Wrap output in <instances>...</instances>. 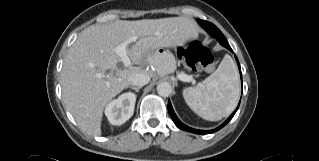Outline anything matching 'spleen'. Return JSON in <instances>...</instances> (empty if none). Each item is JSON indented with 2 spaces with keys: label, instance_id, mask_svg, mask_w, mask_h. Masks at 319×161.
I'll use <instances>...</instances> for the list:
<instances>
[{
  "label": "spleen",
  "instance_id": "1",
  "mask_svg": "<svg viewBox=\"0 0 319 161\" xmlns=\"http://www.w3.org/2000/svg\"><path fill=\"white\" fill-rule=\"evenodd\" d=\"M187 105L200 117L218 121L236 107L240 95L237 69L229 55H225L217 70L202 83L183 89Z\"/></svg>",
  "mask_w": 319,
  "mask_h": 161
}]
</instances>
